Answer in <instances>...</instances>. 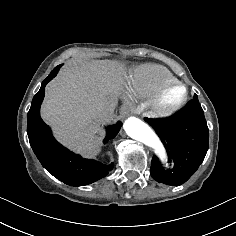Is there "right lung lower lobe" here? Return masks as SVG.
Returning a JSON list of instances; mask_svg holds the SVG:
<instances>
[{
	"instance_id": "right-lung-lower-lobe-1",
	"label": "right lung lower lobe",
	"mask_w": 236,
	"mask_h": 236,
	"mask_svg": "<svg viewBox=\"0 0 236 236\" xmlns=\"http://www.w3.org/2000/svg\"><path fill=\"white\" fill-rule=\"evenodd\" d=\"M57 71H52L42 82L39 92L34 96L31 108L27 114V133L30 145L43 165L54 177L71 186H83L93 183L103 177L113 168V164H103L99 161L83 159L67 150L52 136L49 126L40 117V105L45 95V86L52 80ZM122 123L107 127L104 143L114 138Z\"/></svg>"
}]
</instances>
